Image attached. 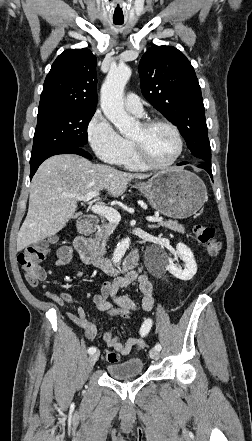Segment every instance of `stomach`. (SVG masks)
<instances>
[{
  "instance_id": "obj_1",
  "label": "stomach",
  "mask_w": 252,
  "mask_h": 441,
  "mask_svg": "<svg viewBox=\"0 0 252 441\" xmlns=\"http://www.w3.org/2000/svg\"><path fill=\"white\" fill-rule=\"evenodd\" d=\"M136 187L153 208L175 219L192 216L207 199L204 182L196 174L179 167L160 171Z\"/></svg>"
}]
</instances>
